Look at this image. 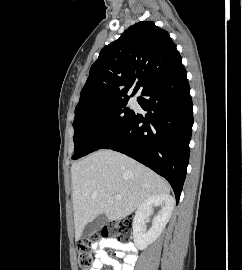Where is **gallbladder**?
<instances>
[{
	"mask_svg": "<svg viewBox=\"0 0 242 270\" xmlns=\"http://www.w3.org/2000/svg\"><path fill=\"white\" fill-rule=\"evenodd\" d=\"M107 223V216L105 214L98 215L93 221L89 222L83 231L85 237L91 236L97 232Z\"/></svg>",
	"mask_w": 242,
	"mask_h": 270,
	"instance_id": "bac80fb5",
	"label": "gallbladder"
}]
</instances>
